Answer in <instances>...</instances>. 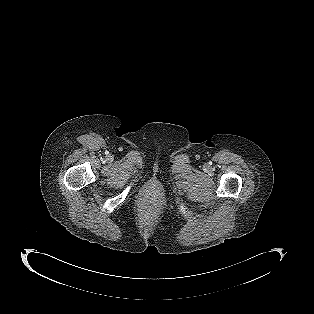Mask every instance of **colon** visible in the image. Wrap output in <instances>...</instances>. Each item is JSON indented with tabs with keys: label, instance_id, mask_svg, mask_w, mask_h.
I'll list each match as a JSON object with an SVG mask.
<instances>
[{
	"label": "colon",
	"instance_id": "1",
	"mask_svg": "<svg viewBox=\"0 0 314 314\" xmlns=\"http://www.w3.org/2000/svg\"><path fill=\"white\" fill-rule=\"evenodd\" d=\"M146 209L149 211V212H152L154 210V207L152 205H147L146 206Z\"/></svg>",
	"mask_w": 314,
	"mask_h": 314
}]
</instances>
